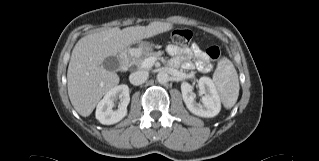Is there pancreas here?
Listing matches in <instances>:
<instances>
[{"label": "pancreas", "instance_id": "pancreas-1", "mask_svg": "<svg viewBox=\"0 0 319 161\" xmlns=\"http://www.w3.org/2000/svg\"><path fill=\"white\" fill-rule=\"evenodd\" d=\"M140 52V51H138ZM162 55V52H140V54L136 57H133L131 60L132 65H136L138 68L142 67V62L149 57L159 58Z\"/></svg>", "mask_w": 319, "mask_h": 161}]
</instances>
